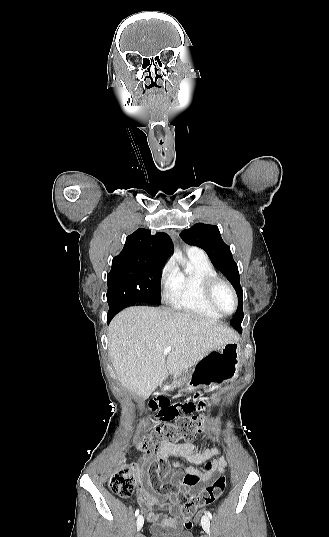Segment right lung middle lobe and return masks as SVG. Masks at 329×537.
<instances>
[{
  "instance_id": "obj_1",
  "label": "right lung middle lobe",
  "mask_w": 329,
  "mask_h": 537,
  "mask_svg": "<svg viewBox=\"0 0 329 537\" xmlns=\"http://www.w3.org/2000/svg\"><path fill=\"white\" fill-rule=\"evenodd\" d=\"M165 263L111 269L107 276L108 315L134 303L161 304L160 274Z\"/></svg>"
}]
</instances>
